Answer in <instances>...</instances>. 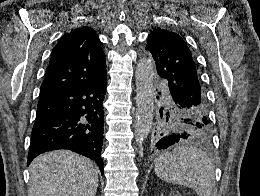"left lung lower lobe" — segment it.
Wrapping results in <instances>:
<instances>
[{
  "mask_svg": "<svg viewBox=\"0 0 260 196\" xmlns=\"http://www.w3.org/2000/svg\"><path fill=\"white\" fill-rule=\"evenodd\" d=\"M182 138H184L183 134L180 133H170L167 134L158 144V149H166L169 146L178 143Z\"/></svg>",
  "mask_w": 260,
  "mask_h": 196,
  "instance_id": "1",
  "label": "left lung lower lobe"
}]
</instances>
